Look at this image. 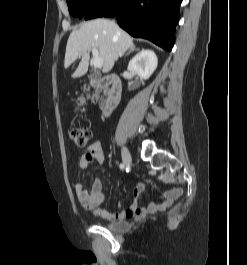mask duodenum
Segmentation results:
<instances>
[{"mask_svg":"<svg viewBox=\"0 0 247 265\" xmlns=\"http://www.w3.org/2000/svg\"><path fill=\"white\" fill-rule=\"evenodd\" d=\"M93 86L96 88L108 86L110 88V97L103 110L105 115L110 114L118 105L121 96V85L118 78L110 75L99 81H94Z\"/></svg>","mask_w":247,"mask_h":265,"instance_id":"duodenum-1","label":"duodenum"}]
</instances>
